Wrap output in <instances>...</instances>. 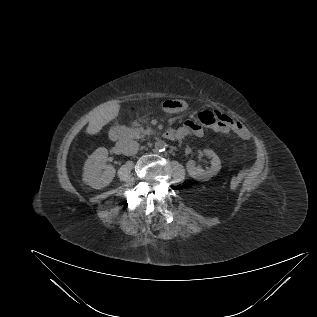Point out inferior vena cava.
I'll return each mask as SVG.
<instances>
[{"label":"inferior vena cava","instance_id":"602c4592","mask_svg":"<svg viewBox=\"0 0 317 317\" xmlns=\"http://www.w3.org/2000/svg\"><path fill=\"white\" fill-rule=\"evenodd\" d=\"M117 148L119 151L127 156L134 155L138 152L139 150V144L137 141L130 139V138H125L121 139L116 143Z\"/></svg>","mask_w":317,"mask_h":317}]
</instances>
